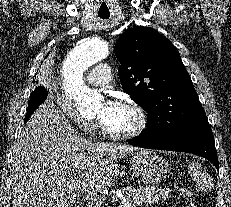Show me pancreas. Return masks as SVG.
<instances>
[{
	"mask_svg": "<svg viewBox=\"0 0 231 207\" xmlns=\"http://www.w3.org/2000/svg\"><path fill=\"white\" fill-rule=\"evenodd\" d=\"M123 196L132 205L131 207H143L149 204L158 203L159 201H166L170 197V191L165 188L158 187H141L134 188L132 186L123 187L121 190ZM113 198L117 197L115 192ZM102 202L93 203L89 207H100ZM103 207V206H102Z\"/></svg>",
	"mask_w": 231,
	"mask_h": 207,
	"instance_id": "cf45deb5",
	"label": "pancreas"
}]
</instances>
